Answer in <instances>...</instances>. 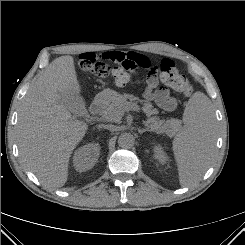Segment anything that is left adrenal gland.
<instances>
[{
    "label": "left adrenal gland",
    "mask_w": 245,
    "mask_h": 245,
    "mask_svg": "<svg viewBox=\"0 0 245 245\" xmlns=\"http://www.w3.org/2000/svg\"><path fill=\"white\" fill-rule=\"evenodd\" d=\"M146 131H151L149 128H145V129H138V132L140 134H142L143 132H146Z\"/></svg>",
    "instance_id": "a2214340"
}]
</instances>
